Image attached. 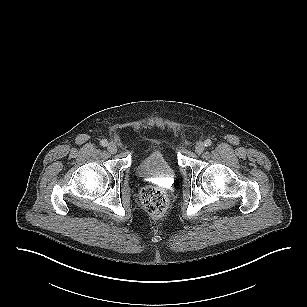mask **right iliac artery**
Instances as JSON below:
<instances>
[{
  "label": "right iliac artery",
  "instance_id": "1",
  "mask_svg": "<svg viewBox=\"0 0 307 307\" xmlns=\"http://www.w3.org/2000/svg\"><path fill=\"white\" fill-rule=\"evenodd\" d=\"M103 147L108 145V141L106 139H103L100 143Z\"/></svg>",
  "mask_w": 307,
  "mask_h": 307
}]
</instances>
